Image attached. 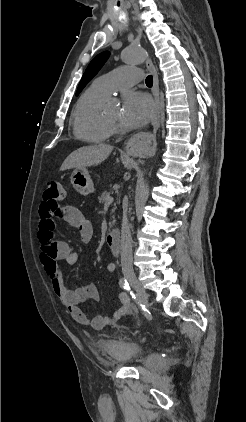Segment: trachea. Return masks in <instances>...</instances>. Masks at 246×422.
<instances>
[{
	"instance_id": "3493384b",
	"label": "trachea",
	"mask_w": 246,
	"mask_h": 422,
	"mask_svg": "<svg viewBox=\"0 0 246 422\" xmlns=\"http://www.w3.org/2000/svg\"><path fill=\"white\" fill-rule=\"evenodd\" d=\"M146 85L148 87H152V85H153V77H152V75L147 76V78H146Z\"/></svg>"
}]
</instances>
